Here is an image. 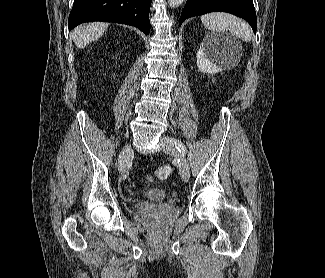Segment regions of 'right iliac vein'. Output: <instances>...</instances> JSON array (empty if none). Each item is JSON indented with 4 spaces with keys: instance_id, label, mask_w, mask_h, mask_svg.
Listing matches in <instances>:
<instances>
[{
    "instance_id": "right-iliac-vein-1",
    "label": "right iliac vein",
    "mask_w": 325,
    "mask_h": 278,
    "mask_svg": "<svg viewBox=\"0 0 325 278\" xmlns=\"http://www.w3.org/2000/svg\"><path fill=\"white\" fill-rule=\"evenodd\" d=\"M131 156H132V148L130 144H127L123 147L120 154L119 172L121 174H124L126 172L127 165Z\"/></svg>"
}]
</instances>
